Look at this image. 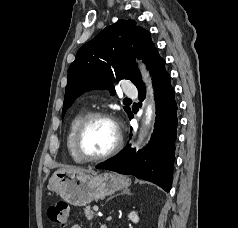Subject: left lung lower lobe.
Wrapping results in <instances>:
<instances>
[{
	"label": "left lung lower lobe",
	"mask_w": 238,
	"mask_h": 228,
	"mask_svg": "<svg viewBox=\"0 0 238 228\" xmlns=\"http://www.w3.org/2000/svg\"><path fill=\"white\" fill-rule=\"evenodd\" d=\"M152 75L156 102V122L148 145L136 153L130 145L118 155L96 168L115 171L120 174L134 175L153 182L169 192L172 187L173 163L175 160L177 104L170 75L165 70V60L155 50L146 63ZM138 97L145 98V88L141 81L137 86ZM133 118V113L129 114Z\"/></svg>",
	"instance_id": "obj_1"
}]
</instances>
